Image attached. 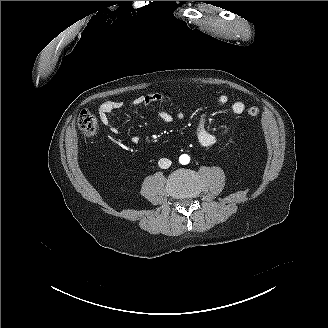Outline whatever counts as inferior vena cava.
<instances>
[{"instance_id": "602c4592", "label": "inferior vena cava", "mask_w": 328, "mask_h": 328, "mask_svg": "<svg viewBox=\"0 0 328 328\" xmlns=\"http://www.w3.org/2000/svg\"><path fill=\"white\" fill-rule=\"evenodd\" d=\"M158 164L160 168L167 169L171 166L172 162L167 158H162L159 160Z\"/></svg>"}]
</instances>
